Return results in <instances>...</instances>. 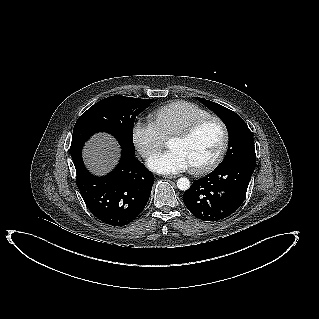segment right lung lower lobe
I'll use <instances>...</instances> for the list:
<instances>
[{"instance_id": "1", "label": "right lung lower lobe", "mask_w": 319, "mask_h": 319, "mask_svg": "<svg viewBox=\"0 0 319 319\" xmlns=\"http://www.w3.org/2000/svg\"><path fill=\"white\" fill-rule=\"evenodd\" d=\"M82 147L71 150L76 183L93 215L105 224L124 226L145 208L154 183L153 174L134 155L122 151L117 167L104 177L92 175L81 158Z\"/></svg>"}]
</instances>
